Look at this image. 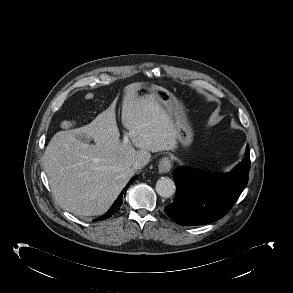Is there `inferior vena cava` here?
I'll return each mask as SVG.
<instances>
[{
    "label": "inferior vena cava",
    "mask_w": 293,
    "mask_h": 293,
    "mask_svg": "<svg viewBox=\"0 0 293 293\" xmlns=\"http://www.w3.org/2000/svg\"><path fill=\"white\" fill-rule=\"evenodd\" d=\"M150 158H143V159H139L137 161H135L133 163V168L134 169H140L143 168L149 161Z\"/></svg>",
    "instance_id": "1"
}]
</instances>
